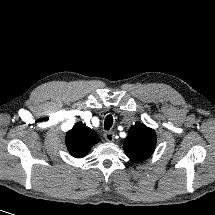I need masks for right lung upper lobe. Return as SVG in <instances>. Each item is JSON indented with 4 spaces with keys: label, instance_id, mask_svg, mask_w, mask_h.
Instances as JSON below:
<instances>
[{
    "label": "right lung upper lobe",
    "instance_id": "obj_1",
    "mask_svg": "<svg viewBox=\"0 0 215 215\" xmlns=\"http://www.w3.org/2000/svg\"><path fill=\"white\" fill-rule=\"evenodd\" d=\"M98 142V135L82 123H76L66 134L68 151L76 158L85 157L92 146Z\"/></svg>",
    "mask_w": 215,
    "mask_h": 215
}]
</instances>
